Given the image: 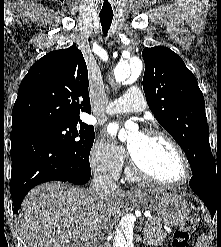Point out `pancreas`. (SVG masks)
I'll use <instances>...</instances> for the list:
<instances>
[{"label":"pancreas","mask_w":221,"mask_h":247,"mask_svg":"<svg viewBox=\"0 0 221 247\" xmlns=\"http://www.w3.org/2000/svg\"><path fill=\"white\" fill-rule=\"evenodd\" d=\"M165 235L160 220L157 217L148 218L144 228L143 243L153 246L162 245Z\"/></svg>","instance_id":"pancreas-1"}]
</instances>
